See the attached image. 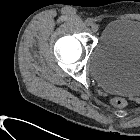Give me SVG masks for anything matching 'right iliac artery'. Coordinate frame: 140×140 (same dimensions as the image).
I'll list each match as a JSON object with an SVG mask.
<instances>
[{
  "label": "right iliac artery",
  "instance_id": "obj_1",
  "mask_svg": "<svg viewBox=\"0 0 140 140\" xmlns=\"http://www.w3.org/2000/svg\"><path fill=\"white\" fill-rule=\"evenodd\" d=\"M92 23H93L92 19H87V20H86V24H87V25H92Z\"/></svg>",
  "mask_w": 140,
  "mask_h": 140
}]
</instances>
